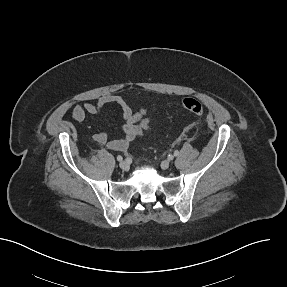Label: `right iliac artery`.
Here are the masks:
<instances>
[{
	"label": "right iliac artery",
	"mask_w": 287,
	"mask_h": 287,
	"mask_svg": "<svg viewBox=\"0 0 287 287\" xmlns=\"http://www.w3.org/2000/svg\"><path fill=\"white\" fill-rule=\"evenodd\" d=\"M117 160L118 161H122L123 160V157L121 155L117 156Z\"/></svg>",
	"instance_id": "82829eb1"
}]
</instances>
